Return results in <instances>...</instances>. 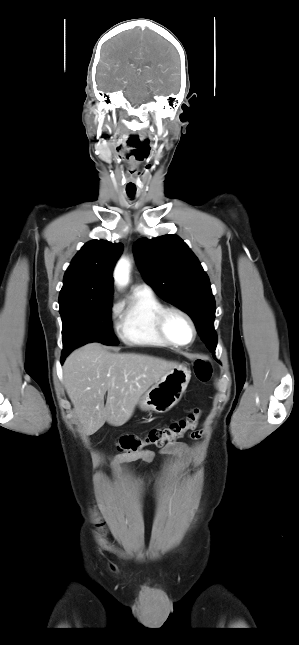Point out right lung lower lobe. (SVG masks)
Listing matches in <instances>:
<instances>
[{"mask_svg":"<svg viewBox=\"0 0 299 645\" xmlns=\"http://www.w3.org/2000/svg\"><path fill=\"white\" fill-rule=\"evenodd\" d=\"M64 360H65V358L61 357V363H63V362H64Z\"/></svg>","mask_w":299,"mask_h":645,"instance_id":"98d812e1","label":"right lung lower lobe"}]
</instances>
